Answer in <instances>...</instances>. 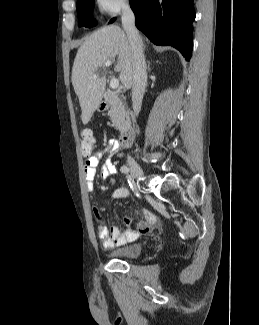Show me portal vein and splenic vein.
Wrapping results in <instances>:
<instances>
[{
  "instance_id": "18ae733b",
  "label": "portal vein and splenic vein",
  "mask_w": 259,
  "mask_h": 325,
  "mask_svg": "<svg viewBox=\"0 0 259 325\" xmlns=\"http://www.w3.org/2000/svg\"><path fill=\"white\" fill-rule=\"evenodd\" d=\"M110 65H112V61H111V60H107V61L104 62V64H103V66H105V67H109ZM92 78H93V79H96V78H97V75L94 74V75L92 76ZM118 86H119V80L116 79V78H112L111 81H110V87H111L112 89H116V88H118Z\"/></svg>"
}]
</instances>
